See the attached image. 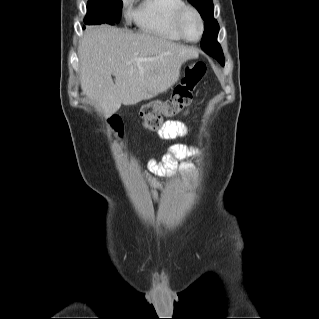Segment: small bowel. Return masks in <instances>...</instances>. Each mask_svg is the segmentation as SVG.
<instances>
[{
  "label": "small bowel",
  "mask_w": 319,
  "mask_h": 319,
  "mask_svg": "<svg viewBox=\"0 0 319 319\" xmlns=\"http://www.w3.org/2000/svg\"><path fill=\"white\" fill-rule=\"evenodd\" d=\"M188 132V127L181 121H167L158 130L157 135L162 140H175L182 138ZM197 152L196 148L185 145L183 143H173L168 147L167 153L163 156L162 161L150 159L147 163V169L151 176L147 177V181L151 187L153 199L158 201L159 191L161 189L160 182L153 176H164L175 170L176 161L178 159H186ZM182 171L190 172L188 163L182 162L180 167Z\"/></svg>",
  "instance_id": "small-bowel-1"
}]
</instances>
